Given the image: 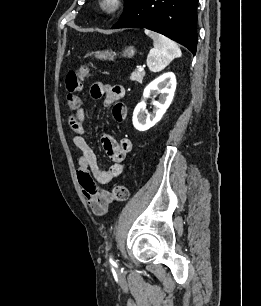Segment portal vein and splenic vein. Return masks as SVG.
I'll return each mask as SVG.
<instances>
[{
	"label": "portal vein and splenic vein",
	"mask_w": 261,
	"mask_h": 306,
	"mask_svg": "<svg viewBox=\"0 0 261 306\" xmlns=\"http://www.w3.org/2000/svg\"><path fill=\"white\" fill-rule=\"evenodd\" d=\"M143 70H144L143 67H139V68H138V71H139V72H142Z\"/></svg>",
	"instance_id": "18ae733b"
}]
</instances>
